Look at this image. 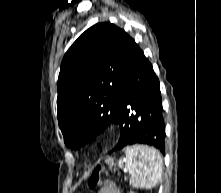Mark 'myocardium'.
<instances>
[{"instance_id":"f54148a6","label":"myocardium","mask_w":221,"mask_h":193,"mask_svg":"<svg viewBox=\"0 0 221 193\" xmlns=\"http://www.w3.org/2000/svg\"><path fill=\"white\" fill-rule=\"evenodd\" d=\"M115 138L114 131L111 128L106 129L102 136H101V142L104 146H109L113 143Z\"/></svg>"}]
</instances>
